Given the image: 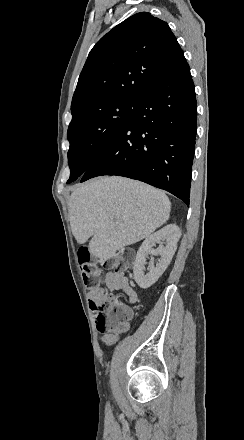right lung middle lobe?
<instances>
[{
	"instance_id": "obj_1",
	"label": "right lung middle lobe",
	"mask_w": 244,
	"mask_h": 440,
	"mask_svg": "<svg viewBox=\"0 0 244 440\" xmlns=\"http://www.w3.org/2000/svg\"><path fill=\"white\" fill-rule=\"evenodd\" d=\"M140 99L112 97L71 110L72 121L67 132L71 174L67 183L84 174L101 151L128 123Z\"/></svg>"
}]
</instances>
